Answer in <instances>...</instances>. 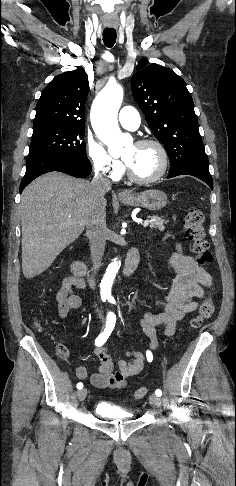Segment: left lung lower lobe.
Here are the masks:
<instances>
[{"instance_id":"0a47b994","label":"left lung lower lobe","mask_w":236,"mask_h":486,"mask_svg":"<svg viewBox=\"0 0 236 486\" xmlns=\"http://www.w3.org/2000/svg\"><path fill=\"white\" fill-rule=\"evenodd\" d=\"M178 175H192V176H195V177L201 179L202 181H204L205 183H207L209 185V187L211 189H213V180H212V177H211L210 173L207 172V171L186 168V169H182V170L170 172L167 178H172V177H175V176H178Z\"/></svg>"}]
</instances>
